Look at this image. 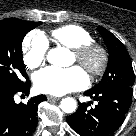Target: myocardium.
<instances>
[{"label":"myocardium","mask_w":136,"mask_h":136,"mask_svg":"<svg viewBox=\"0 0 136 136\" xmlns=\"http://www.w3.org/2000/svg\"><path fill=\"white\" fill-rule=\"evenodd\" d=\"M76 61L86 70L91 79L102 75L108 62L109 54L105 47L97 43H87L73 50Z\"/></svg>","instance_id":"myocardium-1"}]
</instances>
